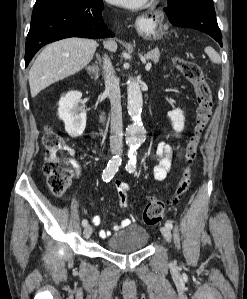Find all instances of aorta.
<instances>
[{
    "label": "aorta",
    "instance_id": "762f6f07",
    "mask_svg": "<svg viewBox=\"0 0 247 299\" xmlns=\"http://www.w3.org/2000/svg\"><path fill=\"white\" fill-rule=\"evenodd\" d=\"M128 114L132 123L126 129V143L129 153L135 154L137 148L145 140V128L142 122L143 99L141 89L136 81L130 79L127 83Z\"/></svg>",
    "mask_w": 247,
    "mask_h": 299
}]
</instances>
